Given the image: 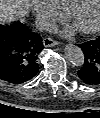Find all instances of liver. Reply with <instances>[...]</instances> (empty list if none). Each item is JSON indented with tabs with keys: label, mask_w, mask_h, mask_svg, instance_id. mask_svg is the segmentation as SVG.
Segmentation results:
<instances>
[{
	"label": "liver",
	"mask_w": 100,
	"mask_h": 118,
	"mask_svg": "<svg viewBox=\"0 0 100 118\" xmlns=\"http://www.w3.org/2000/svg\"><path fill=\"white\" fill-rule=\"evenodd\" d=\"M30 0H0V18L2 23L23 21L30 8Z\"/></svg>",
	"instance_id": "obj_1"
}]
</instances>
